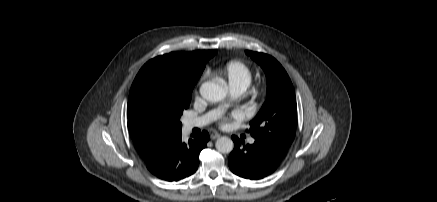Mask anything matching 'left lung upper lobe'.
Here are the masks:
<instances>
[{
  "label": "left lung upper lobe",
  "instance_id": "1",
  "mask_svg": "<svg viewBox=\"0 0 437 202\" xmlns=\"http://www.w3.org/2000/svg\"><path fill=\"white\" fill-rule=\"evenodd\" d=\"M264 70L267 99L250 122L255 141L283 158L296 133L297 104L292 82L282 65L272 56L246 51Z\"/></svg>",
  "mask_w": 437,
  "mask_h": 202
}]
</instances>
